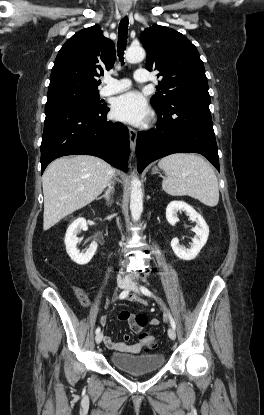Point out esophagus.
Returning <instances> with one entry per match:
<instances>
[{
  "instance_id": "esophagus-1",
  "label": "esophagus",
  "mask_w": 264,
  "mask_h": 415,
  "mask_svg": "<svg viewBox=\"0 0 264 415\" xmlns=\"http://www.w3.org/2000/svg\"><path fill=\"white\" fill-rule=\"evenodd\" d=\"M126 14V12H124ZM129 139H130V149L131 153L134 156L135 148H136V140H137V132L133 128H129Z\"/></svg>"
}]
</instances>
